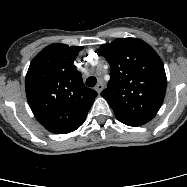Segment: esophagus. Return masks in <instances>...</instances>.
<instances>
[{"label": "esophagus", "instance_id": "34e87169", "mask_svg": "<svg viewBox=\"0 0 187 187\" xmlns=\"http://www.w3.org/2000/svg\"><path fill=\"white\" fill-rule=\"evenodd\" d=\"M104 89V84L102 82H99L96 87H95V90L98 92V93H101V91Z\"/></svg>", "mask_w": 187, "mask_h": 187}]
</instances>
